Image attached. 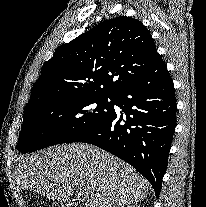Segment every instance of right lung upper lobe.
Masks as SVG:
<instances>
[{
  "label": "right lung upper lobe",
  "instance_id": "right-lung-upper-lobe-1",
  "mask_svg": "<svg viewBox=\"0 0 206 207\" xmlns=\"http://www.w3.org/2000/svg\"><path fill=\"white\" fill-rule=\"evenodd\" d=\"M159 56L142 22L126 16L106 20L56 49L33 84L24 111L55 100L115 96Z\"/></svg>",
  "mask_w": 206,
  "mask_h": 207
}]
</instances>
